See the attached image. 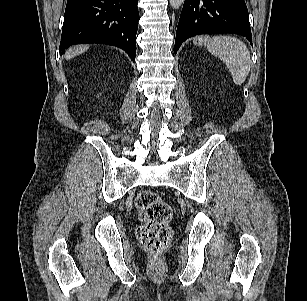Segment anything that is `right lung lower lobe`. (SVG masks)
<instances>
[{
  "label": "right lung lower lobe",
  "mask_w": 307,
  "mask_h": 301,
  "mask_svg": "<svg viewBox=\"0 0 307 301\" xmlns=\"http://www.w3.org/2000/svg\"><path fill=\"white\" fill-rule=\"evenodd\" d=\"M138 0H68L60 53L74 44L100 43L124 49L134 61Z\"/></svg>",
  "instance_id": "obj_1"
}]
</instances>
